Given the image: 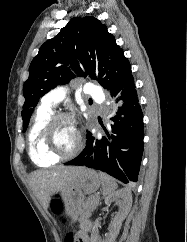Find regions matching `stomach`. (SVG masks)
<instances>
[{
    "instance_id": "0dacf381",
    "label": "stomach",
    "mask_w": 187,
    "mask_h": 242,
    "mask_svg": "<svg viewBox=\"0 0 187 242\" xmlns=\"http://www.w3.org/2000/svg\"><path fill=\"white\" fill-rule=\"evenodd\" d=\"M101 183V178L96 171L82 167L67 191L61 193L65 207V214L72 220V222L81 215L84 195L96 192Z\"/></svg>"
}]
</instances>
